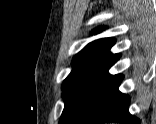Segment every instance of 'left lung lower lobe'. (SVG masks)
I'll use <instances>...</instances> for the list:
<instances>
[{
	"label": "left lung lower lobe",
	"instance_id": "left-lung-lower-lobe-1",
	"mask_svg": "<svg viewBox=\"0 0 156 124\" xmlns=\"http://www.w3.org/2000/svg\"><path fill=\"white\" fill-rule=\"evenodd\" d=\"M122 79V75H114L108 80L78 124L140 123L128 112L129 96L118 90Z\"/></svg>",
	"mask_w": 156,
	"mask_h": 124
}]
</instances>
